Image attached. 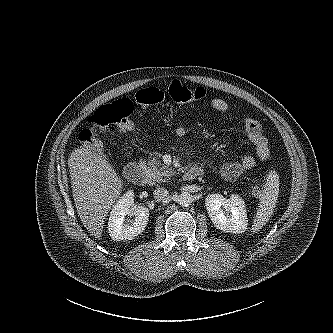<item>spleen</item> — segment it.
<instances>
[{
    "label": "spleen",
    "instance_id": "1",
    "mask_svg": "<svg viewBox=\"0 0 333 333\" xmlns=\"http://www.w3.org/2000/svg\"><path fill=\"white\" fill-rule=\"evenodd\" d=\"M279 194V175L275 170H270L266 181L259 192V206L252 225V232L259 231L271 217L276 206Z\"/></svg>",
    "mask_w": 333,
    "mask_h": 333
}]
</instances>
